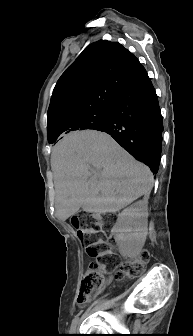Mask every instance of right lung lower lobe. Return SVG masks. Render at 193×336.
<instances>
[{"mask_svg": "<svg viewBox=\"0 0 193 336\" xmlns=\"http://www.w3.org/2000/svg\"><path fill=\"white\" fill-rule=\"evenodd\" d=\"M99 131L110 134L153 173L157 172L163 121L155 89L142 65L114 99Z\"/></svg>", "mask_w": 193, "mask_h": 336, "instance_id": "right-lung-lower-lobe-1", "label": "right lung lower lobe"}]
</instances>
